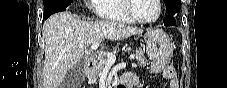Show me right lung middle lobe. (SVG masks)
<instances>
[{
  "instance_id": "1",
  "label": "right lung middle lobe",
  "mask_w": 227,
  "mask_h": 88,
  "mask_svg": "<svg viewBox=\"0 0 227 88\" xmlns=\"http://www.w3.org/2000/svg\"><path fill=\"white\" fill-rule=\"evenodd\" d=\"M43 3L47 19L53 13L64 11L71 4V0H43Z\"/></svg>"
}]
</instances>
